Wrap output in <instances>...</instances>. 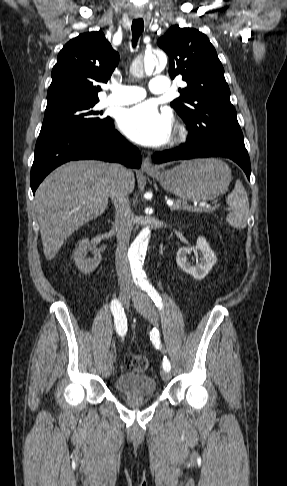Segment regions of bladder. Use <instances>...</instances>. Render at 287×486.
I'll list each match as a JSON object with an SVG mask.
<instances>
[{
  "label": "bladder",
  "instance_id": "bladder-1",
  "mask_svg": "<svg viewBox=\"0 0 287 486\" xmlns=\"http://www.w3.org/2000/svg\"><path fill=\"white\" fill-rule=\"evenodd\" d=\"M116 391L125 395L150 396L156 392L157 384L153 377L140 373H124L114 382Z\"/></svg>",
  "mask_w": 287,
  "mask_h": 486
}]
</instances>
